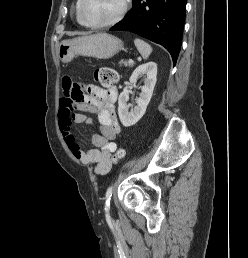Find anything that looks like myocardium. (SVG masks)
<instances>
[{"label": "myocardium", "instance_id": "obj_1", "mask_svg": "<svg viewBox=\"0 0 248 258\" xmlns=\"http://www.w3.org/2000/svg\"><path fill=\"white\" fill-rule=\"evenodd\" d=\"M128 1L129 0H122L121 8L118 11V13L113 18H111L105 22L92 23L86 18V16L83 13L84 0H78V14H79V17L82 20V22L88 27H91V28L109 27V26L117 24L124 18L125 14L127 12V9H128Z\"/></svg>", "mask_w": 248, "mask_h": 258}]
</instances>
